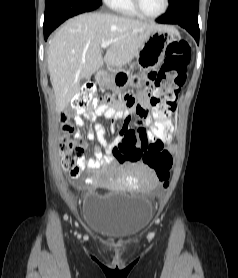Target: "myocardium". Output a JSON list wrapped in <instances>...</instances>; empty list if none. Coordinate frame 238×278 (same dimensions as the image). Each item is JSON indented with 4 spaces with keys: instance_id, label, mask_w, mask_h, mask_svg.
Instances as JSON below:
<instances>
[{
    "instance_id": "f54148a6",
    "label": "myocardium",
    "mask_w": 238,
    "mask_h": 278,
    "mask_svg": "<svg viewBox=\"0 0 238 278\" xmlns=\"http://www.w3.org/2000/svg\"><path fill=\"white\" fill-rule=\"evenodd\" d=\"M131 1H132L134 9L138 13V15H140L143 18L150 19V20H156V19L161 18L162 16H164L167 13L168 8H169V0H164L163 10L157 15H149L142 9L140 0H131Z\"/></svg>"
}]
</instances>
